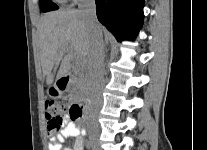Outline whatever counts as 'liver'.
<instances>
[{"mask_svg": "<svg viewBox=\"0 0 207 150\" xmlns=\"http://www.w3.org/2000/svg\"><path fill=\"white\" fill-rule=\"evenodd\" d=\"M102 33V26L99 25ZM39 47L46 84L70 73L73 56L88 64L92 32L79 10L45 14L39 24Z\"/></svg>", "mask_w": 207, "mask_h": 150, "instance_id": "1", "label": "liver"}]
</instances>
